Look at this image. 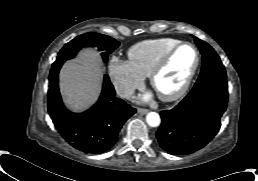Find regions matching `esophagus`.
Masks as SVG:
<instances>
[{
    "label": "esophagus",
    "mask_w": 258,
    "mask_h": 181,
    "mask_svg": "<svg viewBox=\"0 0 258 181\" xmlns=\"http://www.w3.org/2000/svg\"><path fill=\"white\" fill-rule=\"evenodd\" d=\"M138 113L141 114V115H144V114L148 113V109L139 108V109H138Z\"/></svg>",
    "instance_id": "obj_1"
}]
</instances>
